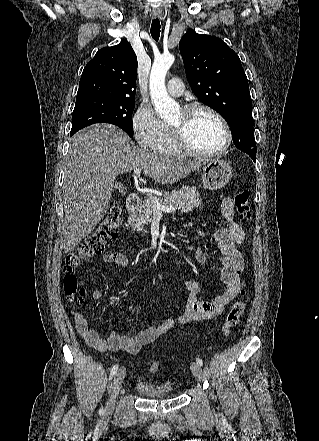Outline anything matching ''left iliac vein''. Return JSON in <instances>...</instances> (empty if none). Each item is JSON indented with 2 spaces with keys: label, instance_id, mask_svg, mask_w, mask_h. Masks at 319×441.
Instances as JSON below:
<instances>
[{
  "label": "left iliac vein",
  "instance_id": "1",
  "mask_svg": "<svg viewBox=\"0 0 319 441\" xmlns=\"http://www.w3.org/2000/svg\"><path fill=\"white\" fill-rule=\"evenodd\" d=\"M190 368H191V371H192L194 377L196 378V380L201 381L203 376H202V369H201L200 365H198L195 362H192Z\"/></svg>",
  "mask_w": 319,
  "mask_h": 441
}]
</instances>
